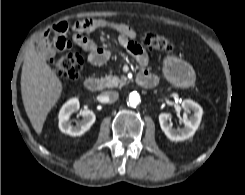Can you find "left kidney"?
Returning <instances> with one entry per match:
<instances>
[{
  "instance_id": "1",
  "label": "left kidney",
  "mask_w": 245,
  "mask_h": 195,
  "mask_svg": "<svg viewBox=\"0 0 245 195\" xmlns=\"http://www.w3.org/2000/svg\"><path fill=\"white\" fill-rule=\"evenodd\" d=\"M182 108L184 110V128L182 129L176 130L169 125V113H161L159 115L160 127L171 141H183L192 137L200 125L203 109L199 104L192 100L186 99L182 102ZM191 111L193 112V115L188 116L187 113H190Z\"/></svg>"
}]
</instances>
